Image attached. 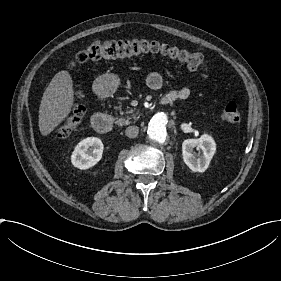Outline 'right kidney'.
I'll return each mask as SVG.
<instances>
[{
	"instance_id": "obj_1",
	"label": "right kidney",
	"mask_w": 281,
	"mask_h": 281,
	"mask_svg": "<svg viewBox=\"0 0 281 281\" xmlns=\"http://www.w3.org/2000/svg\"><path fill=\"white\" fill-rule=\"evenodd\" d=\"M103 148V143L99 138H85L75 147L71 162L79 169H88L101 160Z\"/></svg>"
}]
</instances>
